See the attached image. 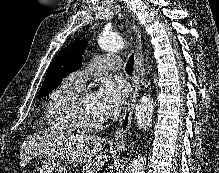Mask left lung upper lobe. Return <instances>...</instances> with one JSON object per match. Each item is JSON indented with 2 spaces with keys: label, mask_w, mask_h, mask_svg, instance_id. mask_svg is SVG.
<instances>
[{
  "label": "left lung upper lobe",
  "mask_w": 219,
  "mask_h": 173,
  "mask_svg": "<svg viewBox=\"0 0 219 173\" xmlns=\"http://www.w3.org/2000/svg\"><path fill=\"white\" fill-rule=\"evenodd\" d=\"M86 44V40H75L56 55L48 68L37 98L44 97L60 85L65 75L81 67L82 54L86 48Z\"/></svg>",
  "instance_id": "left-lung-upper-lobe-1"
}]
</instances>
